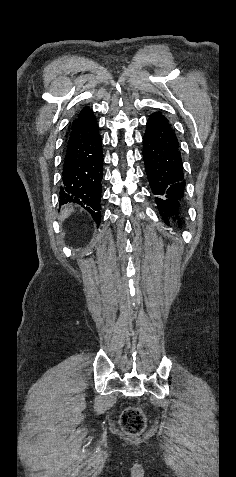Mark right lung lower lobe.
Listing matches in <instances>:
<instances>
[{
  "label": "right lung lower lobe",
  "mask_w": 236,
  "mask_h": 477,
  "mask_svg": "<svg viewBox=\"0 0 236 477\" xmlns=\"http://www.w3.org/2000/svg\"><path fill=\"white\" fill-rule=\"evenodd\" d=\"M102 166V141L91 111L68 134L59 192L60 205L77 203L99 223Z\"/></svg>",
  "instance_id": "obj_1"
}]
</instances>
